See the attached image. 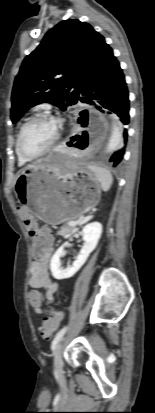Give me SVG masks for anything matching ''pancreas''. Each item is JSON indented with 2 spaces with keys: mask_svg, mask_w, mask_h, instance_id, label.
Returning a JSON list of instances; mask_svg holds the SVG:
<instances>
[{
  "mask_svg": "<svg viewBox=\"0 0 155 413\" xmlns=\"http://www.w3.org/2000/svg\"><path fill=\"white\" fill-rule=\"evenodd\" d=\"M75 227V225L74 226H72V225H70V224H68V225H66V226H63V227H61V229L57 232V234L58 235H66V234H68L69 232H71L72 231V229Z\"/></svg>",
  "mask_w": 155,
  "mask_h": 413,
  "instance_id": "obj_1",
  "label": "pancreas"
}]
</instances>
